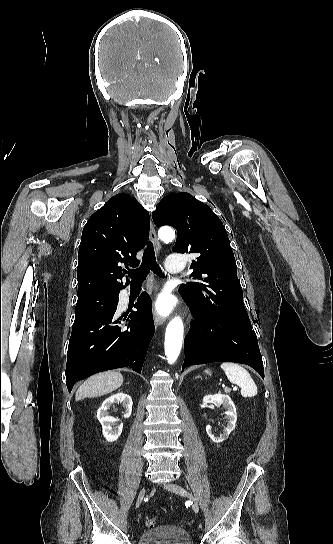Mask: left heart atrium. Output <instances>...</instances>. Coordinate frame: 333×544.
Instances as JSON below:
<instances>
[{
	"label": "left heart atrium",
	"mask_w": 333,
	"mask_h": 544,
	"mask_svg": "<svg viewBox=\"0 0 333 544\" xmlns=\"http://www.w3.org/2000/svg\"><path fill=\"white\" fill-rule=\"evenodd\" d=\"M172 307L173 300L169 295L166 294L162 295L156 303L157 311L163 315L169 313Z\"/></svg>",
	"instance_id": "obj_1"
}]
</instances>
